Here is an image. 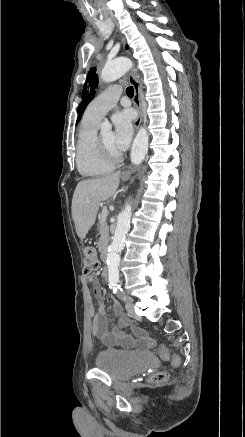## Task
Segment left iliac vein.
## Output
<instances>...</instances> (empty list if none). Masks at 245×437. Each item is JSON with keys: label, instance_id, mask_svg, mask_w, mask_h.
Listing matches in <instances>:
<instances>
[{"label": "left iliac vein", "instance_id": "4c4485c4", "mask_svg": "<svg viewBox=\"0 0 245 437\" xmlns=\"http://www.w3.org/2000/svg\"><path fill=\"white\" fill-rule=\"evenodd\" d=\"M126 310H127V313H128L131 317H133L134 319L140 320V317H138V316L136 315V313H135L134 305H133V303H132V301H131L130 298H129V299L127 300V302H126Z\"/></svg>", "mask_w": 245, "mask_h": 437}]
</instances>
